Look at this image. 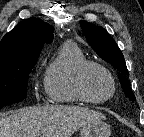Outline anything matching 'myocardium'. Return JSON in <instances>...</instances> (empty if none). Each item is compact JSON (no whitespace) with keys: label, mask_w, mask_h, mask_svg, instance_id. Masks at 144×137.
Segmentation results:
<instances>
[{"label":"myocardium","mask_w":144,"mask_h":137,"mask_svg":"<svg viewBox=\"0 0 144 137\" xmlns=\"http://www.w3.org/2000/svg\"><path fill=\"white\" fill-rule=\"evenodd\" d=\"M92 68H97L101 70L109 78L111 82V85H112L111 93L105 98H101V99L93 98L88 94L85 88V76L87 72ZM75 90L78 96L83 101L92 103V104H103V103L108 102L115 96L116 90H117V84H116V80L113 74L106 66L98 62L87 61L84 64H82L77 70V73L75 76Z\"/></svg>","instance_id":"1"}]
</instances>
